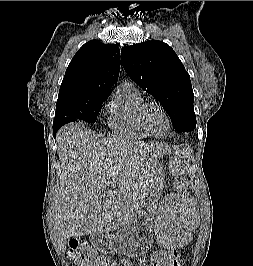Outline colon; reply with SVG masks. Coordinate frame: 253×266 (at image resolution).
<instances>
[{
  "mask_svg": "<svg viewBox=\"0 0 253 266\" xmlns=\"http://www.w3.org/2000/svg\"><path fill=\"white\" fill-rule=\"evenodd\" d=\"M67 255L77 266H123L99 255L91 245L80 239L70 240ZM148 266H181L180 256L174 251H158L151 256Z\"/></svg>",
  "mask_w": 253,
  "mask_h": 266,
  "instance_id": "colon-1",
  "label": "colon"
}]
</instances>
